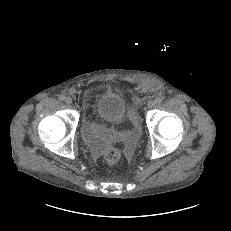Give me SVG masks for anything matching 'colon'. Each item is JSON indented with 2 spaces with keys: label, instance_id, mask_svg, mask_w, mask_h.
<instances>
[{
  "label": "colon",
  "instance_id": "1",
  "mask_svg": "<svg viewBox=\"0 0 231 231\" xmlns=\"http://www.w3.org/2000/svg\"><path fill=\"white\" fill-rule=\"evenodd\" d=\"M150 87H154L156 88L157 86L155 84H152L151 82H146L143 84L142 86V89L143 90H147L149 89ZM129 115L131 117V119L134 121V122H137L138 121V117L136 115V113L133 111V110H130L129 111ZM104 158H105V161L109 164H115L117 163L120 158H121V152L118 148L116 147H112L110 149H108L104 155Z\"/></svg>",
  "mask_w": 231,
  "mask_h": 231
}]
</instances>
